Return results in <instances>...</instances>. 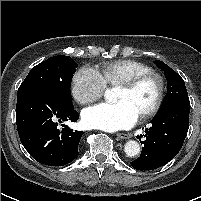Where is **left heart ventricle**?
Returning a JSON list of instances; mask_svg holds the SVG:
<instances>
[{
	"mask_svg": "<svg viewBox=\"0 0 201 201\" xmlns=\"http://www.w3.org/2000/svg\"><path fill=\"white\" fill-rule=\"evenodd\" d=\"M157 95V83L147 79L137 87L128 89L119 86L116 91V101H126L140 116L154 103Z\"/></svg>",
	"mask_w": 201,
	"mask_h": 201,
	"instance_id": "obj_1",
	"label": "left heart ventricle"
}]
</instances>
